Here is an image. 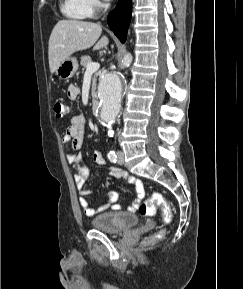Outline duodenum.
Wrapping results in <instances>:
<instances>
[{
  "instance_id": "obj_1",
  "label": "duodenum",
  "mask_w": 243,
  "mask_h": 289,
  "mask_svg": "<svg viewBox=\"0 0 243 289\" xmlns=\"http://www.w3.org/2000/svg\"><path fill=\"white\" fill-rule=\"evenodd\" d=\"M92 113L95 115V116H98L99 115V111H100V104H99V101L98 100H93L92 101Z\"/></svg>"
}]
</instances>
